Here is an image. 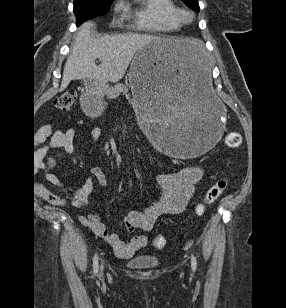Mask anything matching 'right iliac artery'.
I'll list each match as a JSON object with an SVG mask.
<instances>
[{
    "label": "right iliac artery",
    "instance_id": "obj_1",
    "mask_svg": "<svg viewBox=\"0 0 286 308\" xmlns=\"http://www.w3.org/2000/svg\"><path fill=\"white\" fill-rule=\"evenodd\" d=\"M98 259H99L98 254H96L93 260V272L95 275L98 273L99 269Z\"/></svg>",
    "mask_w": 286,
    "mask_h": 308
}]
</instances>
